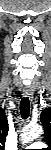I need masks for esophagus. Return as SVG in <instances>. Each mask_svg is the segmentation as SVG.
I'll list each match as a JSON object with an SVG mask.
<instances>
[{
	"label": "esophagus",
	"mask_w": 51,
	"mask_h": 150,
	"mask_svg": "<svg viewBox=\"0 0 51 150\" xmlns=\"http://www.w3.org/2000/svg\"><path fill=\"white\" fill-rule=\"evenodd\" d=\"M23 95L25 97H28L31 101L33 100V92H32V89L30 87H25L23 89Z\"/></svg>",
	"instance_id": "1"
}]
</instances>
